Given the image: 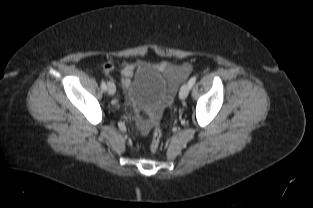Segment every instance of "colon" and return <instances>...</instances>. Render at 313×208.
<instances>
[{
  "mask_svg": "<svg viewBox=\"0 0 313 208\" xmlns=\"http://www.w3.org/2000/svg\"><path fill=\"white\" fill-rule=\"evenodd\" d=\"M143 114L148 117L149 119L155 120V118L153 117V115L147 111L143 112ZM161 139H162V131L160 126L157 124L154 131H153V135L151 138V142H150V152L151 153H156L160 147L161 144Z\"/></svg>",
  "mask_w": 313,
  "mask_h": 208,
  "instance_id": "5ec220e1",
  "label": "colon"
}]
</instances>
